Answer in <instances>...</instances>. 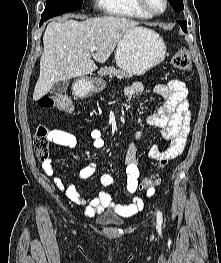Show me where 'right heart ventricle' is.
Returning <instances> with one entry per match:
<instances>
[{
    "mask_svg": "<svg viewBox=\"0 0 221 263\" xmlns=\"http://www.w3.org/2000/svg\"><path fill=\"white\" fill-rule=\"evenodd\" d=\"M100 8L114 16L147 18L148 15L139 7L137 0H98Z\"/></svg>",
    "mask_w": 221,
    "mask_h": 263,
    "instance_id": "obj_1",
    "label": "right heart ventricle"
}]
</instances>
